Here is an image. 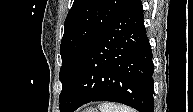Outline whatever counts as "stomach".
Returning a JSON list of instances; mask_svg holds the SVG:
<instances>
[{"label":"stomach","mask_w":193,"mask_h":112,"mask_svg":"<svg viewBox=\"0 0 193 112\" xmlns=\"http://www.w3.org/2000/svg\"><path fill=\"white\" fill-rule=\"evenodd\" d=\"M85 112H96V111H95V109H93V108H89V109H87Z\"/></svg>","instance_id":"stomach-1"}]
</instances>
